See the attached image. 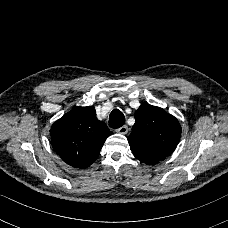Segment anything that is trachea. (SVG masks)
I'll return each mask as SVG.
<instances>
[{
	"mask_svg": "<svg viewBox=\"0 0 228 228\" xmlns=\"http://www.w3.org/2000/svg\"><path fill=\"white\" fill-rule=\"evenodd\" d=\"M124 123L125 117L123 113L118 109H114L109 116V126L116 129L120 128Z\"/></svg>",
	"mask_w": 228,
	"mask_h": 228,
	"instance_id": "trachea-1",
	"label": "trachea"
}]
</instances>
